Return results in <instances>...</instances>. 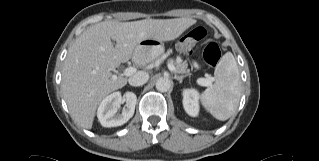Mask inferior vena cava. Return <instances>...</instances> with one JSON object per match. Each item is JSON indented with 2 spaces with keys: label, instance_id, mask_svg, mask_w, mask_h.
Here are the masks:
<instances>
[{
  "label": "inferior vena cava",
  "instance_id": "602c4592",
  "mask_svg": "<svg viewBox=\"0 0 319 161\" xmlns=\"http://www.w3.org/2000/svg\"><path fill=\"white\" fill-rule=\"evenodd\" d=\"M149 79V74L144 71H138L132 75L128 82L131 86H141L145 84Z\"/></svg>",
  "mask_w": 319,
  "mask_h": 161
}]
</instances>
